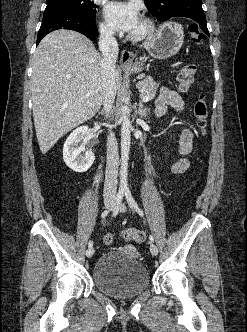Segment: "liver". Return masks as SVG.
Listing matches in <instances>:
<instances>
[{"mask_svg": "<svg viewBox=\"0 0 247 332\" xmlns=\"http://www.w3.org/2000/svg\"><path fill=\"white\" fill-rule=\"evenodd\" d=\"M102 60L88 38L71 30L53 31L38 45L32 60L31 90L42 154L99 111L104 85ZM120 73L116 68V85Z\"/></svg>", "mask_w": 247, "mask_h": 332, "instance_id": "6515ba94", "label": "liver"}]
</instances>
